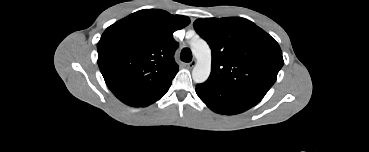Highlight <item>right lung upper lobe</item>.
<instances>
[{
  "label": "right lung upper lobe",
  "mask_w": 369,
  "mask_h": 152,
  "mask_svg": "<svg viewBox=\"0 0 369 152\" xmlns=\"http://www.w3.org/2000/svg\"><path fill=\"white\" fill-rule=\"evenodd\" d=\"M186 16L158 9L137 11L109 26L97 44L98 65L113 94L132 105L168 87L178 72L173 32Z\"/></svg>",
  "instance_id": "cb5924a9"
}]
</instances>
